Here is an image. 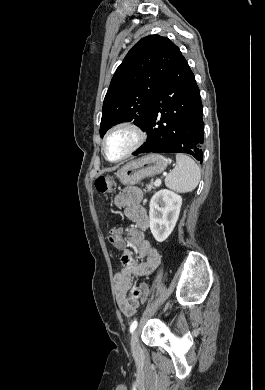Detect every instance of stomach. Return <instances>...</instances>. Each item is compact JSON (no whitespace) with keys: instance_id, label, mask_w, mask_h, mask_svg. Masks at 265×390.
Listing matches in <instances>:
<instances>
[{"instance_id":"0dacf381","label":"stomach","mask_w":265,"mask_h":390,"mask_svg":"<svg viewBox=\"0 0 265 390\" xmlns=\"http://www.w3.org/2000/svg\"><path fill=\"white\" fill-rule=\"evenodd\" d=\"M168 160L160 154H148L124 165L117 173L123 185H134L140 180L161 174Z\"/></svg>"}]
</instances>
